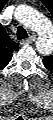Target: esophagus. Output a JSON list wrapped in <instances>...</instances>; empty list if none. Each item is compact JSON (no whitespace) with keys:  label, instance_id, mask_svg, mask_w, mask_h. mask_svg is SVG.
Returning <instances> with one entry per match:
<instances>
[{"label":"esophagus","instance_id":"esophagus-1","mask_svg":"<svg viewBox=\"0 0 53 120\" xmlns=\"http://www.w3.org/2000/svg\"><path fill=\"white\" fill-rule=\"evenodd\" d=\"M35 39H36L35 36H31V37H29L28 39L23 40V41L21 42V44H30V43L34 42Z\"/></svg>","mask_w":53,"mask_h":120}]
</instances>
